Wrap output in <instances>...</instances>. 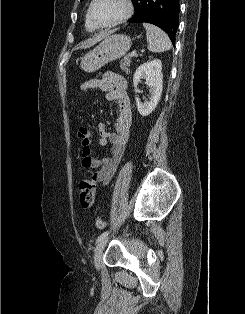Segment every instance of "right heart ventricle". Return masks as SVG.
Wrapping results in <instances>:
<instances>
[{"label": "right heart ventricle", "instance_id": "right-heart-ventricle-1", "mask_svg": "<svg viewBox=\"0 0 245 314\" xmlns=\"http://www.w3.org/2000/svg\"><path fill=\"white\" fill-rule=\"evenodd\" d=\"M85 28H86V30L87 31H89V32H93V31H95L97 28H95L94 26H93V24L91 23V21L89 20V18H88V13L86 14V17H85Z\"/></svg>", "mask_w": 245, "mask_h": 314}]
</instances>
